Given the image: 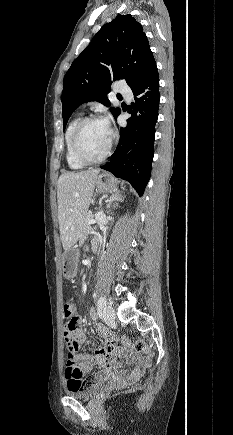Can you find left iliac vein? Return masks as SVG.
I'll use <instances>...</instances> for the list:
<instances>
[{
  "label": "left iliac vein",
  "mask_w": 233,
  "mask_h": 435,
  "mask_svg": "<svg viewBox=\"0 0 233 435\" xmlns=\"http://www.w3.org/2000/svg\"><path fill=\"white\" fill-rule=\"evenodd\" d=\"M102 317L106 323H112L115 321V311L111 305L104 306Z\"/></svg>",
  "instance_id": "4c4485c4"
}]
</instances>
